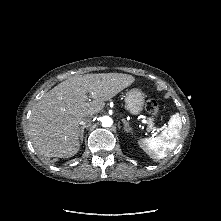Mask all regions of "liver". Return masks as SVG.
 <instances>
[{
  "label": "liver",
  "mask_w": 221,
  "mask_h": 221,
  "mask_svg": "<svg viewBox=\"0 0 221 221\" xmlns=\"http://www.w3.org/2000/svg\"><path fill=\"white\" fill-rule=\"evenodd\" d=\"M135 81L132 75L101 73L76 75L61 82L34 106L29 123L33 145L47 157L68 158L80 149L79 120L99 113ZM88 96L93 99L87 103Z\"/></svg>",
  "instance_id": "1"
}]
</instances>
